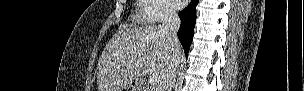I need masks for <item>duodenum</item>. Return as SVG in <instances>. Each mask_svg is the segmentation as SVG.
<instances>
[{"label":"duodenum","instance_id":"obj_1","mask_svg":"<svg viewBox=\"0 0 304 91\" xmlns=\"http://www.w3.org/2000/svg\"><path fill=\"white\" fill-rule=\"evenodd\" d=\"M131 89L133 91H143L144 89H142L141 85L138 83H133L131 86Z\"/></svg>","mask_w":304,"mask_h":91}]
</instances>
